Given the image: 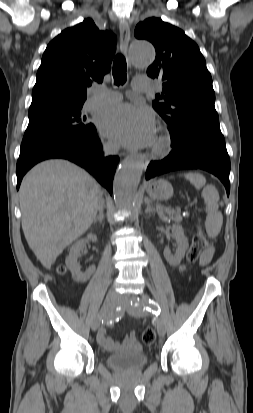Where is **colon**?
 Instances as JSON below:
<instances>
[{
  "label": "colon",
  "instance_id": "1",
  "mask_svg": "<svg viewBox=\"0 0 253 413\" xmlns=\"http://www.w3.org/2000/svg\"><path fill=\"white\" fill-rule=\"evenodd\" d=\"M208 239L202 229H198L192 239V243L187 251L185 264L182 268H186L188 265H192L201 259L202 254L208 249ZM59 273H64V267H58ZM142 341L146 345H150L155 341V332L152 329H146L142 333Z\"/></svg>",
  "mask_w": 253,
  "mask_h": 413
}]
</instances>
